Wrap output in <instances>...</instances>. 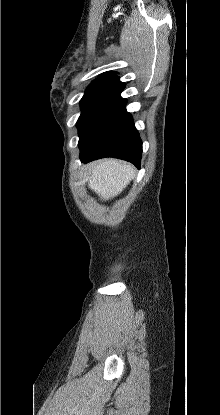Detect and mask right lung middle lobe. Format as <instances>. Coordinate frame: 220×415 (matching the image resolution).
Listing matches in <instances>:
<instances>
[{
	"instance_id": "obj_1",
	"label": "right lung middle lobe",
	"mask_w": 220,
	"mask_h": 415,
	"mask_svg": "<svg viewBox=\"0 0 220 415\" xmlns=\"http://www.w3.org/2000/svg\"><path fill=\"white\" fill-rule=\"evenodd\" d=\"M123 89L124 83L115 80L94 81L88 86L76 124L80 150L90 149L111 118L125 106L127 101L120 96Z\"/></svg>"
}]
</instances>
